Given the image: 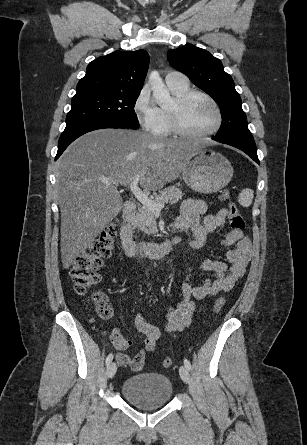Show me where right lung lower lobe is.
Returning <instances> with one entry per match:
<instances>
[{
    "label": "right lung lower lobe",
    "instance_id": "obj_1",
    "mask_svg": "<svg viewBox=\"0 0 307 445\" xmlns=\"http://www.w3.org/2000/svg\"><path fill=\"white\" fill-rule=\"evenodd\" d=\"M103 128H127V126L110 121H85L66 125L59 139L58 152L55 160H57L68 145L78 137L87 132Z\"/></svg>",
    "mask_w": 307,
    "mask_h": 445
}]
</instances>
